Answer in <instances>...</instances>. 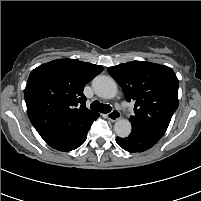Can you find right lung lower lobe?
<instances>
[{
    "label": "right lung lower lobe",
    "mask_w": 201,
    "mask_h": 201,
    "mask_svg": "<svg viewBox=\"0 0 201 201\" xmlns=\"http://www.w3.org/2000/svg\"><path fill=\"white\" fill-rule=\"evenodd\" d=\"M92 124V123H91ZM91 124L81 132L66 135H43V140L59 151H71L81 146L86 138Z\"/></svg>",
    "instance_id": "98d812e1"
}]
</instances>
